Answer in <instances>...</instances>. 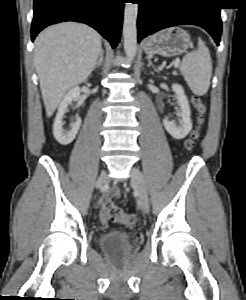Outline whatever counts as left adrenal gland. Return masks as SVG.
Segmentation results:
<instances>
[{
  "label": "left adrenal gland",
  "instance_id": "left-adrenal-gland-1",
  "mask_svg": "<svg viewBox=\"0 0 246 300\" xmlns=\"http://www.w3.org/2000/svg\"><path fill=\"white\" fill-rule=\"evenodd\" d=\"M146 59L148 60V67H152L155 71H157L156 68H155V66L153 65L150 57H146Z\"/></svg>",
  "mask_w": 246,
  "mask_h": 300
}]
</instances>
